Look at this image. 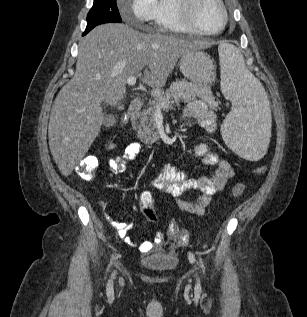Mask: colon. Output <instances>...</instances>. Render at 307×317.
I'll use <instances>...</instances> for the list:
<instances>
[{
    "label": "colon",
    "mask_w": 307,
    "mask_h": 317,
    "mask_svg": "<svg viewBox=\"0 0 307 317\" xmlns=\"http://www.w3.org/2000/svg\"><path fill=\"white\" fill-rule=\"evenodd\" d=\"M128 123L125 116H123L120 120V126L124 127ZM116 136H113L107 143L106 148L111 149L115 146ZM98 167V159L95 156H87L83 158L77 165L76 171L88 178H92L95 176ZM265 166H259L255 169L257 174L264 173ZM245 184L237 183L232 188V194L234 196H240L245 191ZM140 207L145 215V217L151 221L156 222L158 220L157 213L154 208V198L150 192H143L140 195ZM168 233L170 236L178 239L181 243H187L189 240V232L180 228L176 222L171 221L168 228Z\"/></svg>",
    "instance_id": "obj_1"
}]
</instances>
